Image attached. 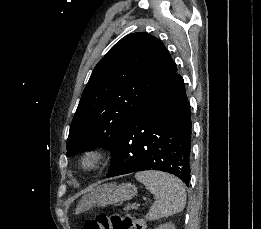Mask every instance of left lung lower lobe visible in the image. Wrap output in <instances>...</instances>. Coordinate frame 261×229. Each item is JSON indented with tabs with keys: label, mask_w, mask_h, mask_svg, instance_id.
<instances>
[{
	"label": "left lung lower lobe",
	"mask_w": 261,
	"mask_h": 229,
	"mask_svg": "<svg viewBox=\"0 0 261 229\" xmlns=\"http://www.w3.org/2000/svg\"><path fill=\"white\" fill-rule=\"evenodd\" d=\"M191 130L184 81L175 72L149 95L127 125L112 153L107 177L154 169L188 184Z\"/></svg>",
	"instance_id": "left-lung-lower-lobe-1"
}]
</instances>
